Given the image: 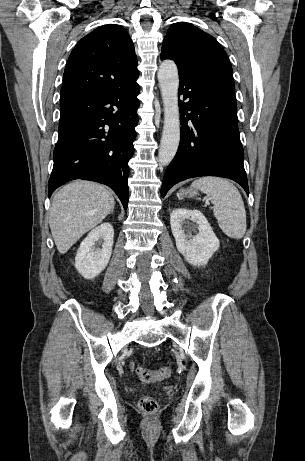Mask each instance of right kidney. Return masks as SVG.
<instances>
[{
	"label": "right kidney",
	"mask_w": 305,
	"mask_h": 461,
	"mask_svg": "<svg viewBox=\"0 0 305 461\" xmlns=\"http://www.w3.org/2000/svg\"><path fill=\"white\" fill-rule=\"evenodd\" d=\"M113 239V226L103 223L81 242L75 257V268L84 278L93 279L106 268L112 254ZM99 240L104 241L101 249L95 248Z\"/></svg>",
	"instance_id": "1"
}]
</instances>
